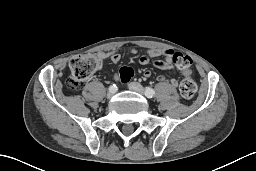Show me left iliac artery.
Returning <instances> with one entry per match:
<instances>
[{
    "label": "left iliac artery",
    "mask_w": 256,
    "mask_h": 171,
    "mask_svg": "<svg viewBox=\"0 0 256 171\" xmlns=\"http://www.w3.org/2000/svg\"><path fill=\"white\" fill-rule=\"evenodd\" d=\"M145 95L148 98H153L155 96V91L152 88H150V87H146L145 88Z\"/></svg>",
    "instance_id": "obj_1"
}]
</instances>
